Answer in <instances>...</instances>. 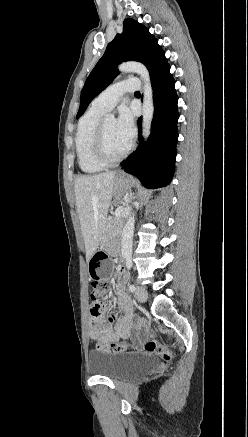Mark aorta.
<instances>
[{
    "label": "aorta",
    "mask_w": 248,
    "mask_h": 437,
    "mask_svg": "<svg viewBox=\"0 0 248 437\" xmlns=\"http://www.w3.org/2000/svg\"><path fill=\"white\" fill-rule=\"evenodd\" d=\"M122 73H136L143 83V105H142V135L146 140L151 133V123L154 114L153 92L151 88L150 76L147 68L138 62H126L119 66ZM135 227V215L132 213L123 228L122 232V257L129 260L132 255V244Z\"/></svg>",
    "instance_id": "762f6f07"
}]
</instances>
